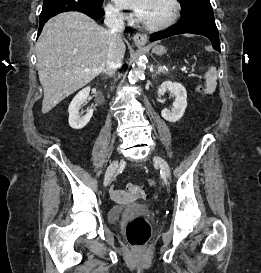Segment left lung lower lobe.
I'll use <instances>...</instances> for the list:
<instances>
[{"label": "left lung lower lobe", "instance_id": "obj_1", "mask_svg": "<svg viewBox=\"0 0 261 273\" xmlns=\"http://www.w3.org/2000/svg\"><path fill=\"white\" fill-rule=\"evenodd\" d=\"M192 33L207 37L218 52L220 41L215 24L213 9L209 0H195L182 7L180 21L168 29L151 34L150 41L164 39L173 35Z\"/></svg>", "mask_w": 261, "mask_h": 273}]
</instances>
